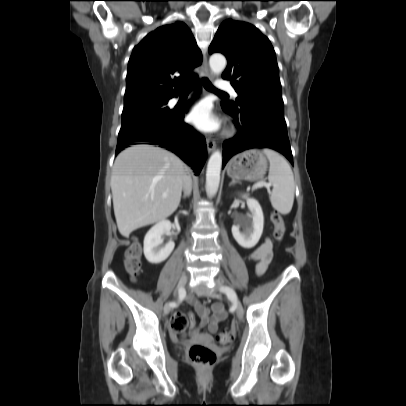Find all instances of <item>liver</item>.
Instances as JSON below:
<instances>
[{"label": "liver", "mask_w": 406, "mask_h": 406, "mask_svg": "<svg viewBox=\"0 0 406 406\" xmlns=\"http://www.w3.org/2000/svg\"><path fill=\"white\" fill-rule=\"evenodd\" d=\"M186 170L176 155L159 147L140 144L122 151L111 178L120 234L128 238L134 230L169 217L179 206Z\"/></svg>", "instance_id": "liver-1"}]
</instances>
